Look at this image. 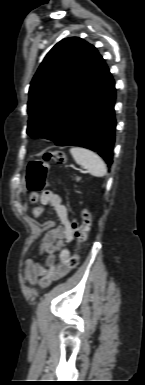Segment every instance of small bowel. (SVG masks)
<instances>
[{"label": "small bowel", "mask_w": 145, "mask_h": 385, "mask_svg": "<svg viewBox=\"0 0 145 385\" xmlns=\"http://www.w3.org/2000/svg\"><path fill=\"white\" fill-rule=\"evenodd\" d=\"M39 205L33 208V216L40 217L44 206L50 205L58 218L59 225L53 221H44L42 227L47 229L39 248V255L45 257V264L37 260L27 259L24 264V279L40 288L49 286L54 280L66 276L74 267L70 264V253L67 245L74 239L72 221L61 197L52 190H45L38 196Z\"/></svg>", "instance_id": "1"}]
</instances>
